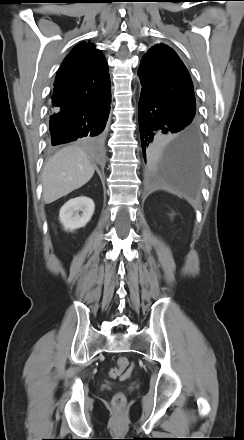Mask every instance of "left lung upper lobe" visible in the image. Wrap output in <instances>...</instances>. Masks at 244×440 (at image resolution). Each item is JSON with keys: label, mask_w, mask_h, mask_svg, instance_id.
<instances>
[{"label": "left lung upper lobe", "mask_w": 244, "mask_h": 440, "mask_svg": "<svg viewBox=\"0 0 244 440\" xmlns=\"http://www.w3.org/2000/svg\"><path fill=\"white\" fill-rule=\"evenodd\" d=\"M138 76L141 90L166 103L184 119L198 127L193 84L177 54L164 44L153 46L143 57Z\"/></svg>", "instance_id": "5c2ea615"}]
</instances>
